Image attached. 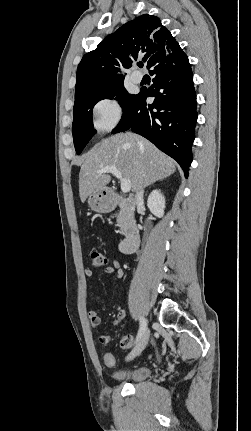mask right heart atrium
I'll return each instance as SVG.
<instances>
[{
    "label": "right heart atrium",
    "mask_w": 251,
    "mask_h": 431,
    "mask_svg": "<svg viewBox=\"0 0 251 431\" xmlns=\"http://www.w3.org/2000/svg\"><path fill=\"white\" fill-rule=\"evenodd\" d=\"M92 125L100 133L111 131L121 120L122 108L113 97L97 100L91 109Z\"/></svg>",
    "instance_id": "d8ad5b80"
}]
</instances>
